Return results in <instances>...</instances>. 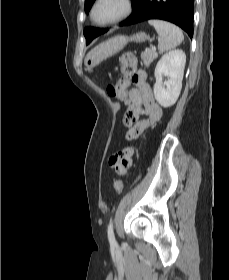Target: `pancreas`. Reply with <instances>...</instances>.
<instances>
[{
  "mask_svg": "<svg viewBox=\"0 0 229 280\" xmlns=\"http://www.w3.org/2000/svg\"><path fill=\"white\" fill-rule=\"evenodd\" d=\"M158 57V53L151 49H146L141 53V59L146 67H149L155 58Z\"/></svg>",
  "mask_w": 229,
  "mask_h": 280,
  "instance_id": "obj_1",
  "label": "pancreas"
}]
</instances>
